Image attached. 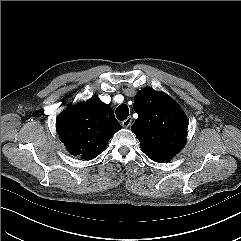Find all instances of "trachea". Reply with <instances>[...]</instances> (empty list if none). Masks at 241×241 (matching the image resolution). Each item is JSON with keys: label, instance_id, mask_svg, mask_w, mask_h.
Here are the masks:
<instances>
[{"label": "trachea", "instance_id": "3493384b", "mask_svg": "<svg viewBox=\"0 0 241 241\" xmlns=\"http://www.w3.org/2000/svg\"><path fill=\"white\" fill-rule=\"evenodd\" d=\"M129 115V108L127 105L125 104H122V105H119L116 109V117L119 119V120H125L127 119Z\"/></svg>", "mask_w": 241, "mask_h": 241}]
</instances>
